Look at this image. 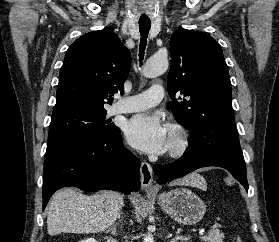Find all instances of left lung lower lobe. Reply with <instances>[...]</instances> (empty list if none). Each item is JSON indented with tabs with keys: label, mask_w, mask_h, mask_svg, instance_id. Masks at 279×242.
I'll use <instances>...</instances> for the list:
<instances>
[{
	"label": "left lung lower lobe",
	"mask_w": 279,
	"mask_h": 242,
	"mask_svg": "<svg viewBox=\"0 0 279 242\" xmlns=\"http://www.w3.org/2000/svg\"><path fill=\"white\" fill-rule=\"evenodd\" d=\"M218 166L227 169L248 191L245 161L224 155H183L180 159L166 165H155L154 172L158 183L163 184L184 176L202 167Z\"/></svg>",
	"instance_id": "left-lung-lower-lobe-1"
}]
</instances>
